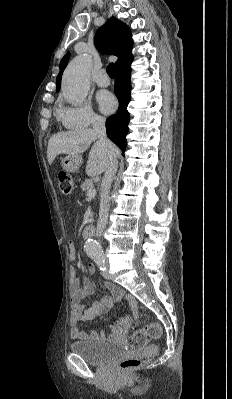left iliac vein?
<instances>
[{
    "label": "left iliac vein",
    "instance_id": "1",
    "mask_svg": "<svg viewBox=\"0 0 232 399\" xmlns=\"http://www.w3.org/2000/svg\"><path fill=\"white\" fill-rule=\"evenodd\" d=\"M102 277L103 279H110V272L108 271L102 272Z\"/></svg>",
    "mask_w": 232,
    "mask_h": 399
}]
</instances>
